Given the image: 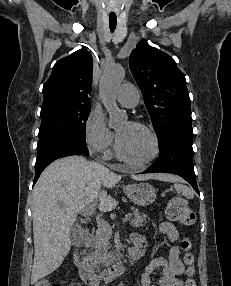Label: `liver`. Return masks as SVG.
<instances>
[{"label": "liver", "mask_w": 231, "mask_h": 286, "mask_svg": "<svg viewBox=\"0 0 231 286\" xmlns=\"http://www.w3.org/2000/svg\"><path fill=\"white\" fill-rule=\"evenodd\" d=\"M141 181L178 180L169 174L134 175ZM122 176L82 156H68L51 163L40 175L32 194L34 261L31 284L55 271L71 248V229L77 214L98 203L101 212L116 208L105 188H113ZM103 187V189H101Z\"/></svg>", "instance_id": "liver-1"}]
</instances>
